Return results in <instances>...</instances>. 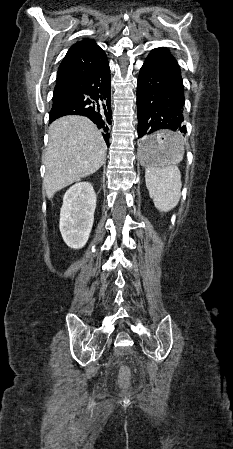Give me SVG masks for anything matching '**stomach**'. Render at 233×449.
<instances>
[{
    "instance_id": "obj_1",
    "label": "stomach",
    "mask_w": 233,
    "mask_h": 449,
    "mask_svg": "<svg viewBox=\"0 0 233 449\" xmlns=\"http://www.w3.org/2000/svg\"><path fill=\"white\" fill-rule=\"evenodd\" d=\"M174 133H148L139 148L140 161L144 165H167L179 161L182 152L175 142Z\"/></svg>"
}]
</instances>
